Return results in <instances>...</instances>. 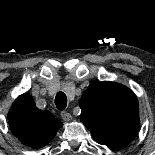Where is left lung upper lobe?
<instances>
[{
  "label": "left lung upper lobe",
  "instance_id": "1",
  "mask_svg": "<svg viewBox=\"0 0 155 155\" xmlns=\"http://www.w3.org/2000/svg\"><path fill=\"white\" fill-rule=\"evenodd\" d=\"M81 121L94 139L111 149L128 145L140 121L138 101L126 86L115 82H93L79 102Z\"/></svg>",
  "mask_w": 155,
  "mask_h": 155
}]
</instances>
